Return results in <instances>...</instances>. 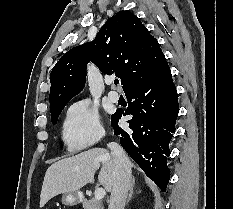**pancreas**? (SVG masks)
<instances>
[{
  "instance_id": "pancreas-1",
  "label": "pancreas",
  "mask_w": 233,
  "mask_h": 209,
  "mask_svg": "<svg viewBox=\"0 0 233 209\" xmlns=\"http://www.w3.org/2000/svg\"><path fill=\"white\" fill-rule=\"evenodd\" d=\"M82 206L83 209H104L102 203L94 198L89 200L83 199Z\"/></svg>"
}]
</instances>
